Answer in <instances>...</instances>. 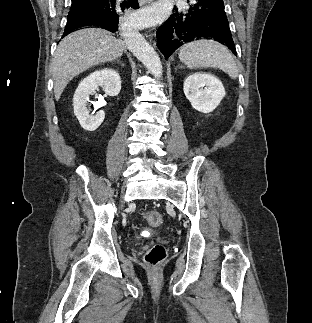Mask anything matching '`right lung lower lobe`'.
<instances>
[{
    "instance_id": "1",
    "label": "right lung lower lobe",
    "mask_w": 312,
    "mask_h": 323,
    "mask_svg": "<svg viewBox=\"0 0 312 323\" xmlns=\"http://www.w3.org/2000/svg\"><path fill=\"white\" fill-rule=\"evenodd\" d=\"M128 7L138 8L139 4L137 0H129L120 5L116 0H89L71 6L62 37L84 26H96L118 33L120 28L126 27L127 16L124 10Z\"/></svg>"
}]
</instances>
